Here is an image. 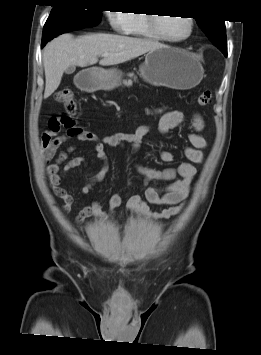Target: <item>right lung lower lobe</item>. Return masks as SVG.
I'll use <instances>...</instances> for the list:
<instances>
[{"instance_id":"1","label":"right lung lower lobe","mask_w":261,"mask_h":355,"mask_svg":"<svg viewBox=\"0 0 261 355\" xmlns=\"http://www.w3.org/2000/svg\"><path fill=\"white\" fill-rule=\"evenodd\" d=\"M83 28H85V26L75 23H61L44 28L41 47L43 48L49 40L53 39L57 35Z\"/></svg>"}]
</instances>
